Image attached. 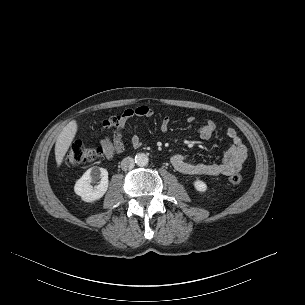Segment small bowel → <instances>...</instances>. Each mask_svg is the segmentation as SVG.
I'll list each match as a JSON object with an SVG mask.
<instances>
[{
  "label": "small bowel",
  "instance_id": "c3829d8e",
  "mask_svg": "<svg viewBox=\"0 0 305 305\" xmlns=\"http://www.w3.org/2000/svg\"><path fill=\"white\" fill-rule=\"evenodd\" d=\"M153 111L147 105H140L132 109H127L124 112L126 115L125 122H129L135 117L148 119L153 116ZM195 121L194 116L187 118L188 123ZM170 125V118L165 116L160 122V129L166 132ZM216 124L212 120H207L198 130V134L203 140H211L214 137ZM226 135L231 140V146L226 151L222 162H195L186 159L180 154H175L171 157V164L180 173L187 175H206V176H228L239 171L247 157V150L241 138L238 136L234 128H227ZM102 147L106 158L113 159L124 151V142L122 134L118 132L113 138L105 137L102 139ZM132 143L135 147L141 145V141L137 135L132 138Z\"/></svg>",
  "mask_w": 305,
  "mask_h": 305
}]
</instances>
